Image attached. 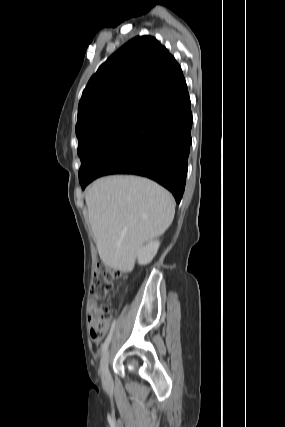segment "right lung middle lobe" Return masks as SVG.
Wrapping results in <instances>:
<instances>
[{
  "instance_id": "right-lung-middle-lobe-1",
  "label": "right lung middle lobe",
  "mask_w": 285,
  "mask_h": 427,
  "mask_svg": "<svg viewBox=\"0 0 285 427\" xmlns=\"http://www.w3.org/2000/svg\"><path fill=\"white\" fill-rule=\"evenodd\" d=\"M143 108L144 106H126L96 118L76 130L78 155L81 159L80 183L92 176L97 165L137 119Z\"/></svg>"
}]
</instances>
